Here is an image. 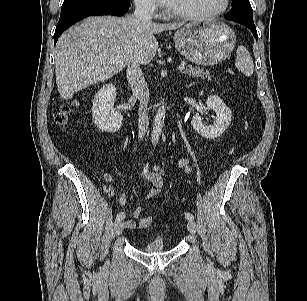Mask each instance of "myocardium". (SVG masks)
<instances>
[{
    "mask_svg": "<svg viewBox=\"0 0 307 301\" xmlns=\"http://www.w3.org/2000/svg\"><path fill=\"white\" fill-rule=\"evenodd\" d=\"M230 6V0H223L222 6L213 12L210 13H201V14H187V13H181L178 11H174L172 9H168V14L171 17L178 18L185 21H204V20H211L215 19L221 15H223Z\"/></svg>",
    "mask_w": 307,
    "mask_h": 301,
    "instance_id": "obj_1",
    "label": "myocardium"
}]
</instances>
